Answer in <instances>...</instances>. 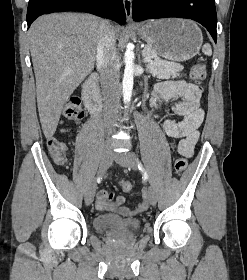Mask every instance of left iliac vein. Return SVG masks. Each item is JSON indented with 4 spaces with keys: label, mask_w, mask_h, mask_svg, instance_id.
Here are the masks:
<instances>
[{
    "label": "left iliac vein",
    "mask_w": 247,
    "mask_h": 280,
    "mask_svg": "<svg viewBox=\"0 0 247 280\" xmlns=\"http://www.w3.org/2000/svg\"><path fill=\"white\" fill-rule=\"evenodd\" d=\"M115 161L123 166L127 167L133 170L137 169V161L133 153L130 152H124V153H118L114 156ZM148 200L151 205H155L157 202V195L153 187H149L148 189Z\"/></svg>",
    "instance_id": "4c4485c4"
}]
</instances>
